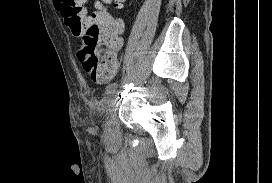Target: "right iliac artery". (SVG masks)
Listing matches in <instances>:
<instances>
[{
  "instance_id": "right-iliac-artery-1",
  "label": "right iliac artery",
  "mask_w": 272,
  "mask_h": 183,
  "mask_svg": "<svg viewBox=\"0 0 272 183\" xmlns=\"http://www.w3.org/2000/svg\"><path fill=\"white\" fill-rule=\"evenodd\" d=\"M118 84L116 82H113L111 84H109L106 88L105 94H109L113 91H115V89L117 88Z\"/></svg>"
}]
</instances>
